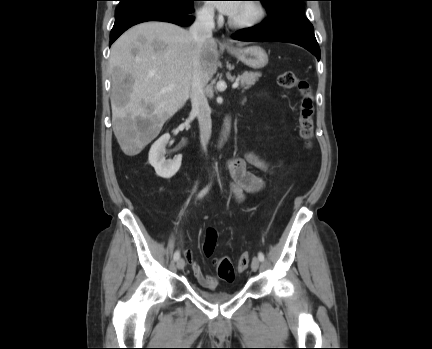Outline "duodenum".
Here are the masks:
<instances>
[{
  "label": "duodenum",
  "mask_w": 432,
  "mask_h": 349,
  "mask_svg": "<svg viewBox=\"0 0 432 349\" xmlns=\"http://www.w3.org/2000/svg\"><path fill=\"white\" fill-rule=\"evenodd\" d=\"M231 121L229 118L224 120L222 133L217 140V147H221L227 140L230 131Z\"/></svg>",
  "instance_id": "duodenum-1"
}]
</instances>
